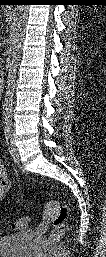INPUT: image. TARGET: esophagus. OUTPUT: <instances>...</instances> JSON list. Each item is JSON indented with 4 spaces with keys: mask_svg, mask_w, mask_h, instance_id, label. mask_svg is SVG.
I'll use <instances>...</instances> for the list:
<instances>
[{
    "mask_svg": "<svg viewBox=\"0 0 106 257\" xmlns=\"http://www.w3.org/2000/svg\"><path fill=\"white\" fill-rule=\"evenodd\" d=\"M7 10H12V7L8 6L6 7Z\"/></svg>",
    "mask_w": 106,
    "mask_h": 257,
    "instance_id": "esophagus-1",
    "label": "esophagus"
}]
</instances>
